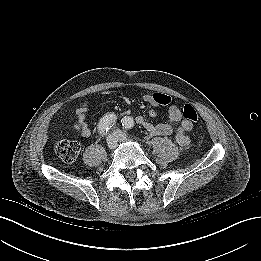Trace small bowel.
<instances>
[{"instance_id":"small-bowel-1","label":"small bowel","mask_w":261,"mask_h":261,"mask_svg":"<svg viewBox=\"0 0 261 261\" xmlns=\"http://www.w3.org/2000/svg\"><path fill=\"white\" fill-rule=\"evenodd\" d=\"M142 99L150 104L153 108L148 111L150 117H155L157 112L155 108L163 105L159 103L154 94H144ZM89 110V103L82 102L77 108L75 117L80 126L82 136L90 137L92 134L91 128L87 122V112ZM135 122L143 126L151 135L155 136H167L175 130L176 142L185 146L190 142L188 132L193 128V124L186 119H183L182 112L177 105L171 104L168 108V121L165 123L154 124L147 120L144 116L139 115L135 118Z\"/></svg>"}]
</instances>
